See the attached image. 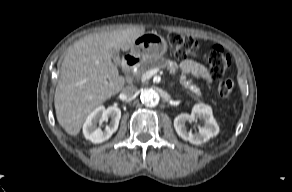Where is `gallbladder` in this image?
I'll use <instances>...</instances> for the list:
<instances>
[{"instance_id": "obj_1", "label": "gallbladder", "mask_w": 292, "mask_h": 192, "mask_svg": "<svg viewBox=\"0 0 292 192\" xmlns=\"http://www.w3.org/2000/svg\"><path fill=\"white\" fill-rule=\"evenodd\" d=\"M112 59L116 64H120L121 60H120L119 51L117 49L112 50Z\"/></svg>"}]
</instances>
